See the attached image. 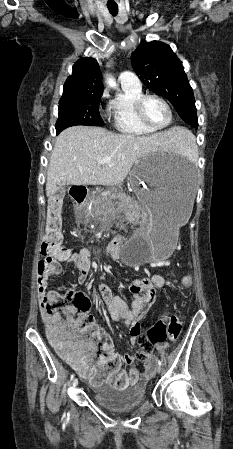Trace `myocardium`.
Here are the masks:
<instances>
[{"label":"myocardium","instance_id":"myocardium-1","mask_svg":"<svg viewBox=\"0 0 233 449\" xmlns=\"http://www.w3.org/2000/svg\"><path fill=\"white\" fill-rule=\"evenodd\" d=\"M149 99H156L158 101H160L167 109L168 114H169V119L167 121V123L163 126L157 127L152 125L151 123H149V121L146 119L145 115H144V105L145 102ZM135 114H136V118L137 120L147 129L151 130V131H160L163 130L167 127H169L172 123L173 120V111L172 108L170 106V104L168 103V101L163 98L160 95L157 94H143L141 97H139L135 103Z\"/></svg>","mask_w":233,"mask_h":449}]
</instances>
